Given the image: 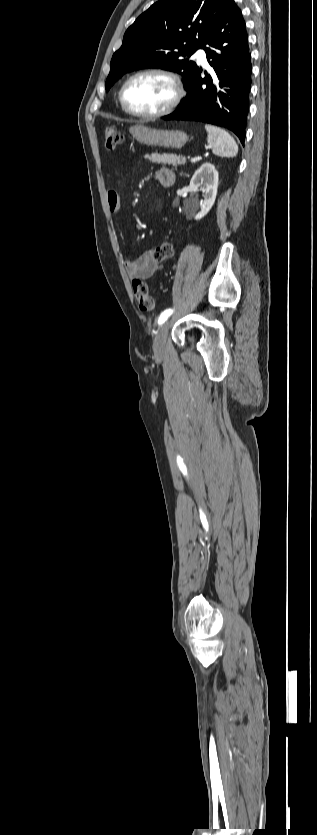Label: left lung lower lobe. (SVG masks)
I'll return each mask as SVG.
<instances>
[{
	"label": "left lung lower lobe",
	"instance_id": "1",
	"mask_svg": "<svg viewBox=\"0 0 317 835\" xmlns=\"http://www.w3.org/2000/svg\"><path fill=\"white\" fill-rule=\"evenodd\" d=\"M206 44L210 47L206 48ZM216 76L202 78L197 68L185 86L186 97L179 108L164 120H190L211 123L233 131L244 145L251 88V54L245 21L231 0L207 42L201 47ZM228 86L226 93L217 90ZM217 97L220 104L216 102Z\"/></svg>",
	"mask_w": 317,
	"mask_h": 835
}]
</instances>
